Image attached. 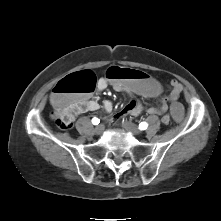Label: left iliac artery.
<instances>
[{
  "label": "left iliac artery",
  "mask_w": 221,
  "mask_h": 221,
  "mask_svg": "<svg viewBox=\"0 0 221 221\" xmlns=\"http://www.w3.org/2000/svg\"><path fill=\"white\" fill-rule=\"evenodd\" d=\"M147 127H148V124H147L146 122H141V123L139 124V129H140V130H146Z\"/></svg>",
  "instance_id": "left-iliac-artery-1"
}]
</instances>
